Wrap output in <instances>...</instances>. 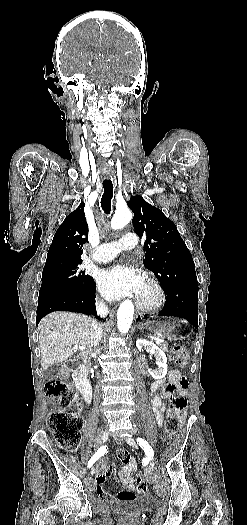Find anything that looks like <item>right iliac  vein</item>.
I'll list each match as a JSON object with an SVG mask.
<instances>
[{
    "label": "right iliac vein",
    "instance_id": "right-iliac-vein-1",
    "mask_svg": "<svg viewBox=\"0 0 247 525\" xmlns=\"http://www.w3.org/2000/svg\"><path fill=\"white\" fill-rule=\"evenodd\" d=\"M108 437H109V433H108V431H105V432L103 433V435H102V442H103V443L106 442V441L108 440ZM94 473H95V467L93 466V467L91 468V474L93 475Z\"/></svg>",
    "mask_w": 247,
    "mask_h": 525
}]
</instances>
